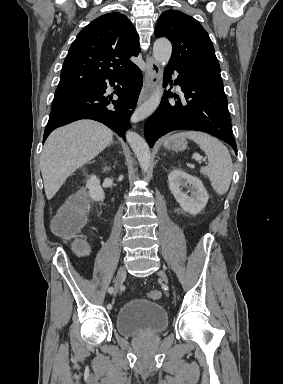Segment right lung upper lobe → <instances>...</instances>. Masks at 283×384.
Here are the masks:
<instances>
[{
	"label": "right lung upper lobe",
	"mask_w": 283,
	"mask_h": 384,
	"mask_svg": "<svg viewBox=\"0 0 283 384\" xmlns=\"http://www.w3.org/2000/svg\"><path fill=\"white\" fill-rule=\"evenodd\" d=\"M139 36L121 13H108L83 28L65 58L57 90L89 88L120 77L136 67Z\"/></svg>",
	"instance_id": "obj_1"
}]
</instances>
